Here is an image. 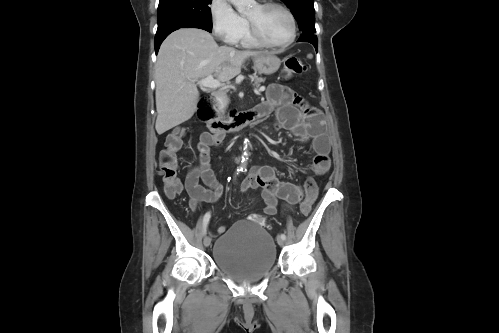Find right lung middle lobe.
Instances as JSON below:
<instances>
[{
  "label": "right lung middle lobe",
  "instance_id": "right-lung-middle-lobe-1",
  "mask_svg": "<svg viewBox=\"0 0 499 333\" xmlns=\"http://www.w3.org/2000/svg\"><path fill=\"white\" fill-rule=\"evenodd\" d=\"M212 0H160L157 32L183 24L212 26L209 4Z\"/></svg>",
  "mask_w": 499,
  "mask_h": 333
}]
</instances>
